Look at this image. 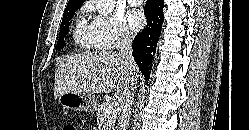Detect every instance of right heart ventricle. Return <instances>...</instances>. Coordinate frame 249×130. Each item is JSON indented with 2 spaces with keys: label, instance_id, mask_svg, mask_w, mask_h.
Wrapping results in <instances>:
<instances>
[{
  "label": "right heart ventricle",
  "instance_id": "1",
  "mask_svg": "<svg viewBox=\"0 0 249 130\" xmlns=\"http://www.w3.org/2000/svg\"><path fill=\"white\" fill-rule=\"evenodd\" d=\"M73 39L75 44L82 49L98 48L91 24H88L83 17L79 18L76 22Z\"/></svg>",
  "mask_w": 249,
  "mask_h": 130
}]
</instances>
